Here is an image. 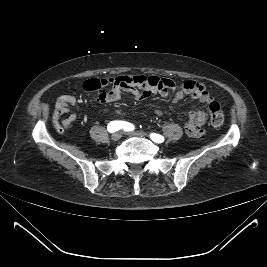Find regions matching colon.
<instances>
[{"label":"colon","mask_w":267,"mask_h":267,"mask_svg":"<svg viewBox=\"0 0 267 267\" xmlns=\"http://www.w3.org/2000/svg\"><path fill=\"white\" fill-rule=\"evenodd\" d=\"M147 85L152 89H155L159 86L158 82L151 79H147ZM209 115H210V121L213 126L220 127L223 124L224 122L223 111L217 102L213 101L209 104ZM56 126L60 128L58 124Z\"/></svg>","instance_id":"colon-1"}]
</instances>
